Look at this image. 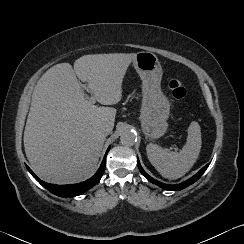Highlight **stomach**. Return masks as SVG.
Here are the masks:
<instances>
[{
	"instance_id": "0dacf381",
	"label": "stomach",
	"mask_w": 244,
	"mask_h": 244,
	"mask_svg": "<svg viewBox=\"0 0 244 244\" xmlns=\"http://www.w3.org/2000/svg\"><path fill=\"white\" fill-rule=\"evenodd\" d=\"M133 66L142 80L140 122L143 133L151 139L165 134L170 117V103L161 90L162 67L149 51L138 52Z\"/></svg>"
}]
</instances>
